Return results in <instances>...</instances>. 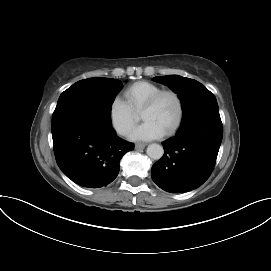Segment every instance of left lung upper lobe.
<instances>
[{"label":"left lung upper lobe","mask_w":271,"mask_h":271,"mask_svg":"<svg viewBox=\"0 0 271 271\" xmlns=\"http://www.w3.org/2000/svg\"><path fill=\"white\" fill-rule=\"evenodd\" d=\"M153 81L177 93L183 109L182 124L198 116L219 114L214 94L198 81L179 75L157 76Z\"/></svg>","instance_id":"obj_1"}]
</instances>
